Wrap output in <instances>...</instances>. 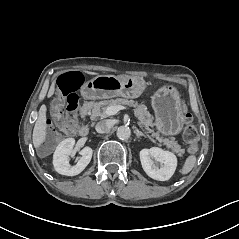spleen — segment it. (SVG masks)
Segmentation results:
<instances>
[{"label":"spleen","mask_w":239,"mask_h":239,"mask_svg":"<svg viewBox=\"0 0 239 239\" xmlns=\"http://www.w3.org/2000/svg\"><path fill=\"white\" fill-rule=\"evenodd\" d=\"M196 155L195 154H191L189 155L184 164L182 165V168L180 169V175L181 176H185L187 174H189L191 172V170L194 168L195 164H196Z\"/></svg>","instance_id":"obj_1"}]
</instances>
